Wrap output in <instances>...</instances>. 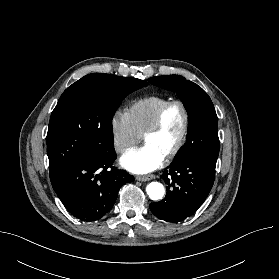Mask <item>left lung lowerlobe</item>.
Returning <instances> with one entry per match:
<instances>
[{
  "mask_svg": "<svg viewBox=\"0 0 279 279\" xmlns=\"http://www.w3.org/2000/svg\"><path fill=\"white\" fill-rule=\"evenodd\" d=\"M166 197L149 205L159 219L179 222L194 214L207 198L215 179V168L194 160L171 163L161 175Z\"/></svg>",
  "mask_w": 279,
  "mask_h": 279,
  "instance_id": "obj_1",
  "label": "left lung lower lobe"
}]
</instances>
